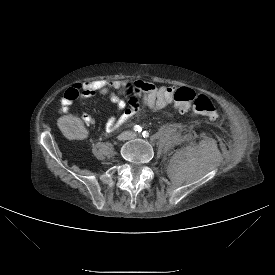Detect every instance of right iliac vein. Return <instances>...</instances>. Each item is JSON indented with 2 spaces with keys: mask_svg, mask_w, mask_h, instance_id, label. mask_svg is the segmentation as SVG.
<instances>
[{
  "mask_svg": "<svg viewBox=\"0 0 275 275\" xmlns=\"http://www.w3.org/2000/svg\"><path fill=\"white\" fill-rule=\"evenodd\" d=\"M130 138H131V133H129V132H124L118 136V140H120V141H125Z\"/></svg>",
  "mask_w": 275,
  "mask_h": 275,
  "instance_id": "1",
  "label": "right iliac vein"
}]
</instances>
